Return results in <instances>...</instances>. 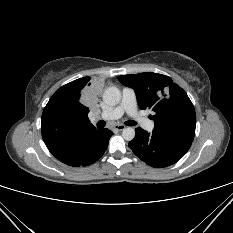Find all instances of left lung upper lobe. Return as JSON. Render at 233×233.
<instances>
[{
    "label": "left lung upper lobe",
    "instance_id": "obj_1",
    "mask_svg": "<svg viewBox=\"0 0 233 233\" xmlns=\"http://www.w3.org/2000/svg\"><path fill=\"white\" fill-rule=\"evenodd\" d=\"M119 81L135 90L141 109L155 112L153 133L162 138L192 143L196 115L186 92L166 75L146 72L122 75Z\"/></svg>",
    "mask_w": 233,
    "mask_h": 233
}]
</instances>
